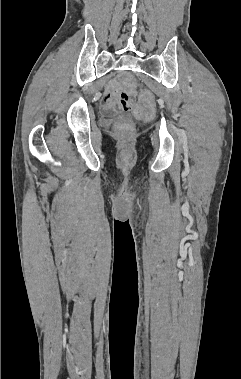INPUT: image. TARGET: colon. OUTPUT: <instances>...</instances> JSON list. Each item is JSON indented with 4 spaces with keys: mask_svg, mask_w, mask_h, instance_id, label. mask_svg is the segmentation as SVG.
I'll return each instance as SVG.
<instances>
[{
    "mask_svg": "<svg viewBox=\"0 0 241 379\" xmlns=\"http://www.w3.org/2000/svg\"><path fill=\"white\" fill-rule=\"evenodd\" d=\"M115 97L121 108L124 110H135L140 117H147L153 110V104L150 97L139 98V103H132L130 96L124 92H118ZM117 129L122 135H129L133 132L134 126L130 121H125L117 126Z\"/></svg>",
    "mask_w": 241,
    "mask_h": 379,
    "instance_id": "5ec220e1",
    "label": "colon"
}]
</instances>
